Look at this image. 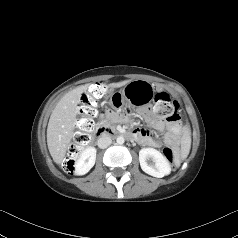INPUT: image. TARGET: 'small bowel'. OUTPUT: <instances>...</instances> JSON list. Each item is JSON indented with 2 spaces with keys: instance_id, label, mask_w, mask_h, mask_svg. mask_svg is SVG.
<instances>
[{
  "instance_id": "obj_1",
  "label": "small bowel",
  "mask_w": 238,
  "mask_h": 238,
  "mask_svg": "<svg viewBox=\"0 0 238 238\" xmlns=\"http://www.w3.org/2000/svg\"><path fill=\"white\" fill-rule=\"evenodd\" d=\"M153 108L146 104L142 108V115L148 121L149 125L157 131H165L163 141L155 139L148 131L139 130L134 132L136 139L149 147H159L162 144L170 147H185L187 144V137L179 121L165 123L160 121L156 115L151 116Z\"/></svg>"
}]
</instances>
